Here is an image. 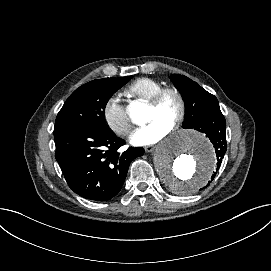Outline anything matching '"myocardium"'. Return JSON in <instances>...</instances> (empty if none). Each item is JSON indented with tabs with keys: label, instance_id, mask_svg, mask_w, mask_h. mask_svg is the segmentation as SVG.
<instances>
[{
	"label": "myocardium",
	"instance_id": "1",
	"mask_svg": "<svg viewBox=\"0 0 271 271\" xmlns=\"http://www.w3.org/2000/svg\"><path fill=\"white\" fill-rule=\"evenodd\" d=\"M175 94L180 102V112L172 122V129L179 127L186 119L188 113V102L184 92L176 85L163 86L149 102V105L156 110L162 108L164 99L169 94Z\"/></svg>",
	"mask_w": 271,
	"mask_h": 271
}]
</instances>
